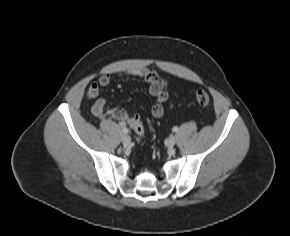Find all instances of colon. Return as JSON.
<instances>
[{
  "mask_svg": "<svg viewBox=\"0 0 290 236\" xmlns=\"http://www.w3.org/2000/svg\"><path fill=\"white\" fill-rule=\"evenodd\" d=\"M195 99H196V102L200 106H206L210 101V96L205 90L199 89L195 93ZM130 124H131L132 129L134 130L137 137L140 138L144 135V132H145L144 126H143L139 116H137V115L133 116L130 119Z\"/></svg>",
  "mask_w": 290,
  "mask_h": 236,
  "instance_id": "5ec220e1",
  "label": "colon"
}]
</instances>
